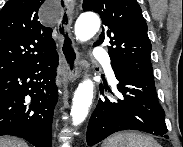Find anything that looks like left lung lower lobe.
I'll return each mask as SVG.
<instances>
[{
  "instance_id": "1",
  "label": "left lung lower lobe",
  "mask_w": 183,
  "mask_h": 147,
  "mask_svg": "<svg viewBox=\"0 0 183 147\" xmlns=\"http://www.w3.org/2000/svg\"><path fill=\"white\" fill-rule=\"evenodd\" d=\"M122 97L100 99L87 128L88 146L122 130H139L166 135L165 113L158 103L154 78L134 70L112 65ZM101 91L103 89L100 85Z\"/></svg>"
}]
</instances>
